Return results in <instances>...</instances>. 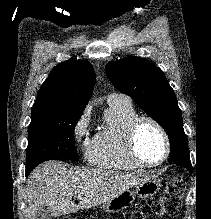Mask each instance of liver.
<instances>
[{"instance_id": "liver-1", "label": "liver", "mask_w": 211, "mask_h": 219, "mask_svg": "<svg viewBox=\"0 0 211 219\" xmlns=\"http://www.w3.org/2000/svg\"><path fill=\"white\" fill-rule=\"evenodd\" d=\"M149 176L146 172L68 169L57 161L45 162L29 177L27 197L32 219L43 205L50 208L51 216L59 217L104 204ZM74 195H81L78 205L72 201Z\"/></svg>"}]
</instances>
